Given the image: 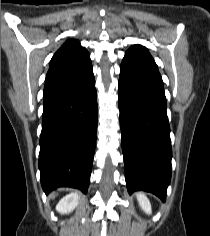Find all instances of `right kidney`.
Segmentation results:
<instances>
[{"label": "right kidney", "instance_id": "1", "mask_svg": "<svg viewBox=\"0 0 210 236\" xmlns=\"http://www.w3.org/2000/svg\"><path fill=\"white\" fill-rule=\"evenodd\" d=\"M79 198L80 196L77 193H70L66 195L59 201L56 206V210L61 214L71 212L78 205Z\"/></svg>", "mask_w": 210, "mask_h": 236}]
</instances>
